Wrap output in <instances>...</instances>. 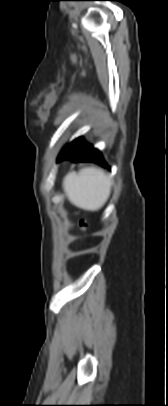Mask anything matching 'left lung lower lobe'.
Segmentation results:
<instances>
[{"instance_id":"0a47b994","label":"left lung lower lobe","mask_w":168,"mask_h":406,"mask_svg":"<svg viewBox=\"0 0 168 406\" xmlns=\"http://www.w3.org/2000/svg\"><path fill=\"white\" fill-rule=\"evenodd\" d=\"M63 159H70L74 162H94L103 167H107L100 152L94 149L90 144L86 143L82 137L74 140L62 150L58 156V161Z\"/></svg>"}]
</instances>
